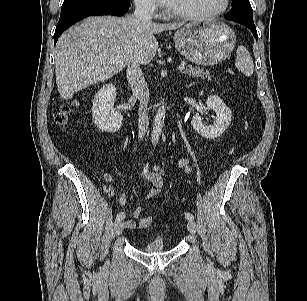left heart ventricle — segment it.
<instances>
[{
    "label": "left heart ventricle",
    "mask_w": 307,
    "mask_h": 301,
    "mask_svg": "<svg viewBox=\"0 0 307 301\" xmlns=\"http://www.w3.org/2000/svg\"><path fill=\"white\" fill-rule=\"evenodd\" d=\"M223 0H171L169 8L181 13L201 14L218 10Z\"/></svg>",
    "instance_id": "left-heart-ventricle-1"
}]
</instances>
